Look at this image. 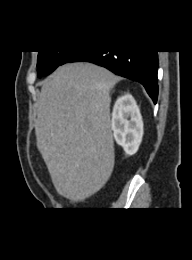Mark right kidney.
Wrapping results in <instances>:
<instances>
[{
	"label": "right kidney",
	"instance_id": "obj_1",
	"mask_svg": "<svg viewBox=\"0 0 192 260\" xmlns=\"http://www.w3.org/2000/svg\"><path fill=\"white\" fill-rule=\"evenodd\" d=\"M111 128L116 143L124 149L127 155H134L142 141L143 121L132 95H124L115 102Z\"/></svg>",
	"mask_w": 192,
	"mask_h": 260
}]
</instances>
